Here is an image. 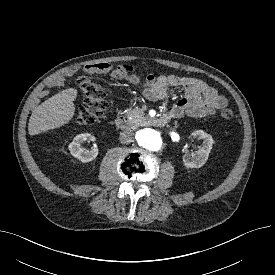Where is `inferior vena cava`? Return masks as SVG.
<instances>
[{
	"label": "inferior vena cava",
	"instance_id": "1",
	"mask_svg": "<svg viewBox=\"0 0 275 275\" xmlns=\"http://www.w3.org/2000/svg\"><path fill=\"white\" fill-rule=\"evenodd\" d=\"M133 133L130 130H126L124 132L120 133V142L122 144H129L133 141L134 137H133Z\"/></svg>",
	"mask_w": 275,
	"mask_h": 275
}]
</instances>
